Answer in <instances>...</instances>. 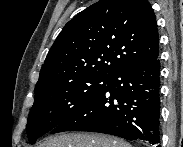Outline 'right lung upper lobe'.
Masks as SVG:
<instances>
[{"label": "right lung upper lobe", "mask_w": 183, "mask_h": 147, "mask_svg": "<svg viewBox=\"0 0 183 147\" xmlns=\"http://www.w3.org/2000/svg\"><path fill=\"white\" fill-rule=\"evenodd\" d=\"M158 56L157 22L147 0H100L64 26L35 90L88 76L110 78L128 65Z\"/></svg>", "instance_id": "1"}]
</instances>
